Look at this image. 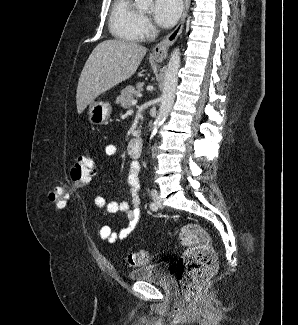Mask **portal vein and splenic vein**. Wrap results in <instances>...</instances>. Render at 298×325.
Returning <instances> with one entry per match:
<instances>
[{
  "mask_svg": "<svg viewBox=\"0 0 298 325\" xmlns=\"http://www.w3.org/2000/svg\"><path fill=\"white\" fill-rule=\"evenodd\" d=\"M139 96H142V94H139ZM138 100L135 98V100H132V104H137Z\"/></svg>",
  "mask_w": 298,
  "mask_h": 325,
  "instance_id": "1",
  "label": "portal vein and splenic vein"
}]
</instances>
